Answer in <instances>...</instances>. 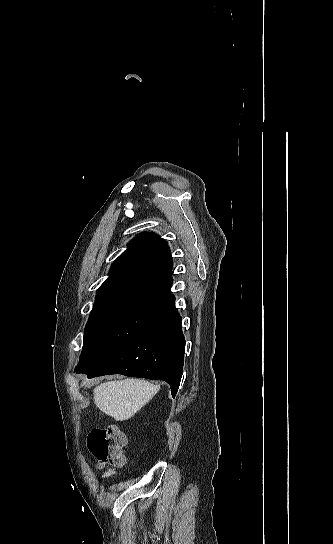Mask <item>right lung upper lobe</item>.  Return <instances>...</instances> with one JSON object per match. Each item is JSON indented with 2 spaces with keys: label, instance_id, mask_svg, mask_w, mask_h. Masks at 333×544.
Listing matches in <instances>:
<instances>
[{
  "label": "right lung upper lobe",
  "instance_id": "cb5924a9",
  "mask_svg": "<svg viewBox=\"0 0 333 544\" xmlns=\"http://www.w3.org/2000/svg\"><path fill=\"white\" fill-rule=\"evenodd\" d=\"M172 259L167 242L143 232L113 262L109 277L98 288L95 304L125 298H147L173 303Z\"/></svg>",
  "mask_w": 333,
  "mask_h": 544
}]
</instances>
